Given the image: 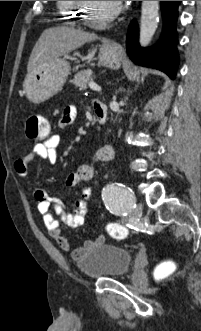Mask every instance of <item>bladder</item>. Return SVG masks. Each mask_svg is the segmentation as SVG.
<instances>
[{
	"label": "bladder",
	"mask_w": 201,
	"mask_h": 331,
	"mask_svg": "<svg viewBox=\"0 0 201 331\" xmlns=\"http://www.w3.org/2000/svg\"><path fill=\"white\" fill-rule=\"evenodd\" d=\"M132 254L112 243H103L91 249L77 261L84 275L95 279L119 278L130 269Z\"/></svg>",
	"instance_id": "obj_1"
}]
</instances>
